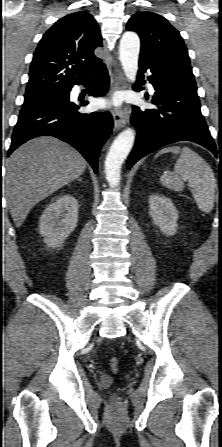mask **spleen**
I'll return each mask as SVG.
<instances>
[{
    "mask_svg": "<svg viewBox=\"0 0 222 447\" xmlns=\"http://www.w3.org/2000/svg\"><path fill=\"white\" fill-rule=\"evenodd\" d=\"M168 152L180 156L174 165V171L161 176L162 185L174 191H181L184 188V181H187L198 208L202 212L209 213L214 206L216 188L210 165L188 147L164 148L157 156Z\"/></svg>",
    "mask_w": 222,
    "mask_h": 447,
    "instance_id": "obj_1",
    "label": "spleen"
}]
</instances>
